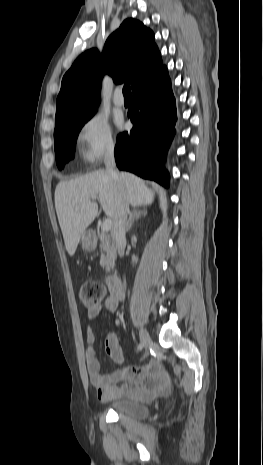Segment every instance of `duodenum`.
<instances>
[{"label": "duodenum", "instance_id": "duodenum-1", "mask_svg": "<svg viewBox=\"0 0 263 465\" xmlns=\"http://www.w3.org/2000/svg\"><path fill=\"white\" fill-rule=\"evenodd\" d=\"M108 286L111 290V293L117 297L121 298L123 295L122 285L120 279L116 275H110L108 278Z\"/></svg>", "mask_w": 263, "mask_h": 465}]
</instances>
